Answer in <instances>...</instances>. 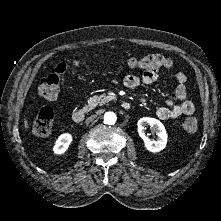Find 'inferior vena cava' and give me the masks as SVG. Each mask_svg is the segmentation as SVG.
Listing matches in <instances>:
<instances>
[{
  "instance_id": "inferior-vena-cava-1",
  "label": "inferior vena cava",
  "mask_w": 221,
  "mask_h": 221,
  "mask_svg": "<svg viewBox=\"0 0 221 221\" xmlns=\"http://www.w3.org/2000/svg\"><path fill=\"white\" fill-rule=\"evenodd\" d=\"M96 118V115H92L86 119V123L92 122Z\"/></svg>"
}]
</instances>
